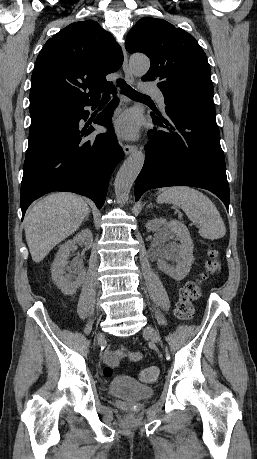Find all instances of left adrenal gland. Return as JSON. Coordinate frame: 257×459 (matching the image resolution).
Wrapping results in <instances>:
<instances>
[{"instance_id":"a2214340","label":"left adrenal gland","mask_w":257,"mask_h":459,"mask_svg":"<svg viewBox=\"0 0 257 459\" xmlns=\"http://www.w3.org/2000/svg\"><path fill=\"white\" fill-rule=\"evenodd\" d=\"M150 207H153V204H152V203H150V204L148 205V208H150Z\"/></svg>"}]
</instances>
